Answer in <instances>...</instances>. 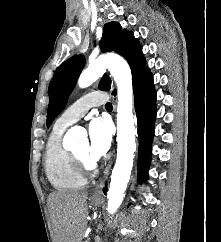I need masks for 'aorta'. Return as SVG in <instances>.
Returning a JSON list of instances; mask_svg holds the SVG:
<instances>
[{
    "mask_svg": "<svg viewBox=\"0 0 221 242\" xmlns=\"http://www.w3.org/2000/svg\"><path fill=\"white\" fill-rule=\"evenodd\" d=\"M106 69H109L111 76L117 85V160L111 175V182L108 190L109 213L113 214L120 207L124 192L130 180L131 170L136 151L135 126L132 113L133 108V86L132 74L128 63L118 55H104L81 73L78 79V86L86 88L97 81ZM77 128H72L66 134L65 139L71 144L78 140Z\"/></svg>",
    "mask_w": 221,
    "mask_h": 242,
    "instance_id": "obj_1",
    "label": "aorta"
}]
</instances>
